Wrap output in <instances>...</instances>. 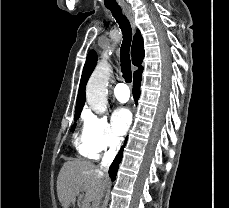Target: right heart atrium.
I'll return each instance as SVG.
<instances>
[{
  "label": "right heart atrium",
  "instance_id": "right-heart-atrium-1",
  "mask_svg": "<svg viewBox=\"0 0 229 208\" xmlns=\"http://www.w3.org/2000/svg\"><path fill=\"white\" fill-rule=\"evenodd\" d=\"M80 143L87 152L100 154L107 149L119 147L122 139L113 132L105 116L86 112Z\"/></svg>",
  "mask_w": 229,
  "mask_h": 208
}]
</instances>
